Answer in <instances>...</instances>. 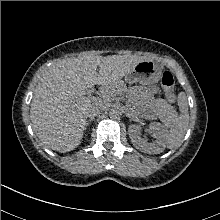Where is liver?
Wrapping results in <instances>:
<instances>
[{
    "label": "liver",
    "mask_w": 220,
    "mask_h": 220,
    "mask_svg": "<svg viewBox=\"0 0 220 220\" xmlns=\"http://www.w3.org/2000/svg\"><path fill=\"white\" fill-rule=\"evenodd\" d=\"M143 60L135 55H83L50 67L31 102L30 119L38 138L59 152L75 149L83 138L91 107L104 105L102 96L118 92L121 79ZM94 85L100 86L99 97L91 100L86 92Z\"/></svg>",
    "instance_id": "obj_1"
}]
</instances>
